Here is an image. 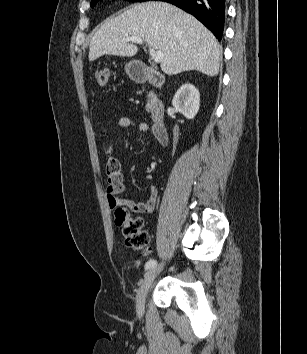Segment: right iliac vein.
Segmentation results:
<instances>
[{
    "instance_id": "1",
    "label": "right iliac vein",
    "mask_w": 307,
    "mask_h": 354,
    "mask_svg": "<svg viewBox=\"0 0 307 354\" xmlns=\"http://www.w3.org/2000/svg\"><path fill=\"white\" fill-rule=\"evenodd\" d=\"M163 269V264H160L158 267L152 268L143 279L141 286L138 291L137 301H136V311L138 315L141 317L144 313L145 309V300L147 293L155 280L156 276L161 272Z\"/></svg>"
}]
</instances>
